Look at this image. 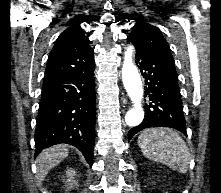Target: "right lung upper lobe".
Instances as JSON below:
<instances>
[{
  "label": "right lung upper lobe",
  "mask_w": 221,
  "mask_h": 193,
  "mask_svg": "<svg viewBox=\"0 0 221 193\" xmlns=\"http://www.w3.org/2000/svg\"><path fill=\"white\" fill-rule=\"evenodd\" d=\"M80 23L71 21L70 26L57 38L48 58L44 81L81 71L94 62V52Z\"/></svg>",
  "instance_id": "right-lung-upper-lobe-1"
}]
</instances>
